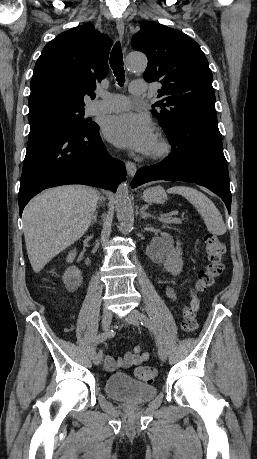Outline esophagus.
<instances>
[{
	"label": "esophagus",
	"mask_w": 257,
	"mask_h": 459,
	"mask_svg": "<svg viewBox=\"0 0 257 459\" xmlns=\"http://www.w3.org/2000/svg\"><path fill=\"white\" fill-rule=\"evenodd\" d=\"M116 28H117V31L120 35V37L123 39L124 38V32H125V28H124V22L121 18H117L116 19ZM125 166H126V170L129 174V176L133 177L137 171V167L135 165V163L131 162V161H127L125 163Z\"/></svg>",
	"instance_id": "34e87169"
}]
</instances>
